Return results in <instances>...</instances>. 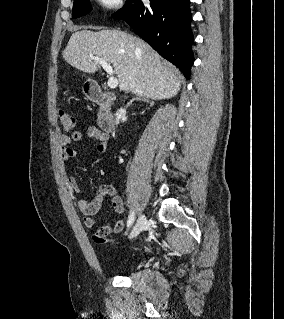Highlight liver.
I'll use <instances>...</instances> for the list:
<instances>
[{"mask_svg":"<svg viewBox=\"0 0 284 319\" xmlns=\"http://www.w3.org/2000/svg\"><path fill=\"white\" fill-rule=\"evenodd\" d=\"M63 58L71 66L95 73L98 64L92 57L113 65L120 91H131L146 99H169L181 86L176 68L163 61L141 38L118 30H80L73 33Z\"/></svg>","mask_w":284,"mask_h":319,"instance_id":"6515ba94","label":"liver"}]
</instances>
